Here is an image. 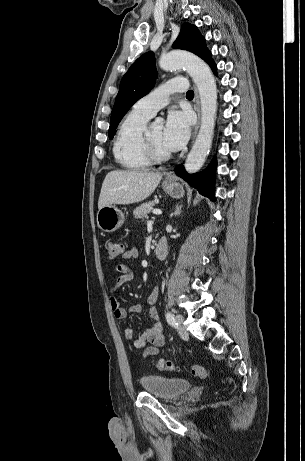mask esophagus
<instances>
[{
    "label": "esophagus",
    "mask_w": 305,
    "mask_h": 461,
    "mask_svg": "<svg viewBox=\"0 0 305 461\" xmlns=\"http://www.w3.org/2000/svg\"><path fill=\"white\" fill-rule=\"evenodd\" d=\"M194 91H195V110H196V113H197V124H196V127H195V130H194V133H193V139H195L196 135H197V132H198V129H199V126H200V118H201V111H200V102H199V96H198V91H197V88L194 87Z\"/></svg>",
    "instance_id": "obj_1"
}]
</instances>
